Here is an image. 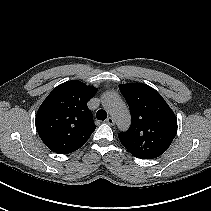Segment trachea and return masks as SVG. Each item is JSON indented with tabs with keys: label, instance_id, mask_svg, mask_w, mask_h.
<instances>
[{
	"label": "trachea",
	"instance_id": "3493384b",
	"mask_svg": "<svg viewBox=\"0 0 211 211\" xmlns=\"http://www.w3.org/2000/svg\"><path fill=\"white\" fill-rule=\"evenodd\" d=\"M96 116H97L98 120H102L103 121V120H105L107 118V113L103 109H100V110L97 111Z\"/></svg>",
	"mask_w": 211,
	"mask_h": 211
}]
</instances>
